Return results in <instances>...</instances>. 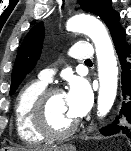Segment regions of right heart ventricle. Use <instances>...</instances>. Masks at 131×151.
<instances>
[{"mask_svg":"<svg viewBox=\"0 0 131 151\" xmlns=\"http://www.w3.org/2000/svg\"><path fill=\"white\" fill-rule=\"evenodd\" d=\"M47 83L36 80L25 85L19 92L14 108V122L19 138L29 144L44 140L33 125V107L38 96L46 89Z\"/></svg>","mask_w":131,"mask_h":151,"instance_id":"e07e8e85","label":"right heart ventricle"}]
</instances>
